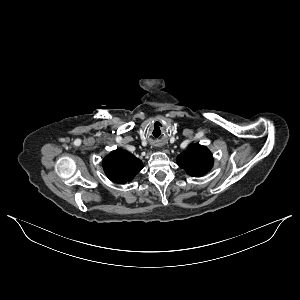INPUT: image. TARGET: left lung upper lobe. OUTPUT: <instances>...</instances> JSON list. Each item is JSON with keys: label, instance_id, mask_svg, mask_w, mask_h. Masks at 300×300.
<instances>
[{"label": "left lung upper lobe", "instance_id": "obj_1", "mask_svg": "<svg viewBox=\"0 0 300 300\" xmlns=\"http://www.w3.org/2000/svg\"><path fill=\"white\" fill-rule=\"evenodd\" d=\"M177 164L195 177L206 174L213 166V157L209 149L199 144H192L177 156Z\"/></svg>", "mask_w": 300, "mask_h": 300}]
</instances>
